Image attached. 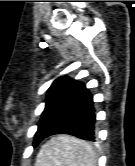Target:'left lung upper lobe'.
I'll return each mask as SVG.
<instances>
[{
    "label": "left lung upper lobe",
    "instance_id": "5c2ea615",
    "mask_svg": "<svg viewBox=\"0 0 135 166\" xmlns=\"http://www.w3.org/2000/svg\"><path fill=\"white\" fill-rule=\"evenodd\" d=\"M76 81L68 77L62 76L56 79L50 86L47 92L45 109L42 113V118L38 123V127L44 121V119L51 114L54 109V105L60 100L65 98L67 94L74 88Z\"/></svg>",
    "mask_w": 135,
    "mask_h": 166
}]
</instances>
